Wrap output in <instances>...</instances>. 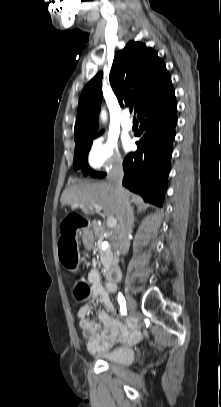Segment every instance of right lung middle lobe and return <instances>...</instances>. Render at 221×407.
I'll use <instances>...</instances> for the list:
<instances>
[{"instance_id":"right-lung-middle-lobe-1","label":"right lung middle lobe","mask_w":221,"mask_h":407,"mask_svg":"<svg viewBox=\"0 0 221 407\" xmlns=\"http://www.w3.org/2000/svg\"><path fill=\"white\" fill-rule=\"evenodd\" d=\"M94 138L95 137L75 144L74 168L80 169L85 174H90L94 177H104L105 173H96L88 165V153Z\"/></svg>"}]
</instances>
